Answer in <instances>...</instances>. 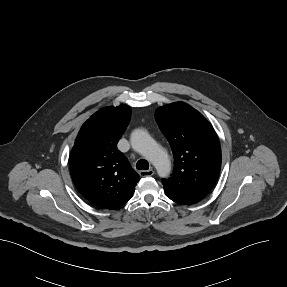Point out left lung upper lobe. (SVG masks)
<instances>
[{"label":"left lung upper lobe","instance_id":"1","mask_svg":"<svg viewBox=\"0 0 287 287\" xmlns=\"http://www.w3.org/2000/svg\"><path fill=\"white\" fill-rule=\"evenodd\" d=\"M156 121L174 155V170L162 179L168 198L193 204L215 185L221 168L220 144L212 125L197 110L175 102L156 110Z\"/></svg>","mask_w":287,"mask_h":287}]
</instances>
